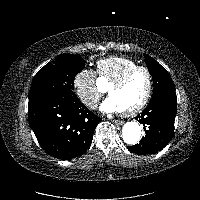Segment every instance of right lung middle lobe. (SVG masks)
I'll list each match as a JSON object with an SVG mask.
<instances>
[{
	"mask_svg": "<svg viewBox=\"0 0 200 200\" xmlns=\"http://www.w3.org/2000/svg\"><path fill=\"white\" fill-rule=\"evenodd\" d=\"M85 64L82 58L72 54H61L54 64L48 63L34 76L29 101L40 98L70 100L76 97L73 80Z\"/></svg>",
	"mask_w": 200,
	"mask_h": 200,
	"instance_id": "dd1d6c3e",
	"label": "right lung middle lobe"
}]
</instances>
